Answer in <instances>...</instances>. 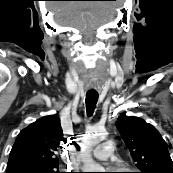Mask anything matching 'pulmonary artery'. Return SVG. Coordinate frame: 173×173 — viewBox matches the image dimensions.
I'll use <instances>...</instances> for the list:
<instances>
[{
	"label": "pulmonary artery",
	"mask_w": 173,
	"mask_h": 173,
	"mask_svg": "<svg viewBox=\"0 0 173 173\" xmlns=\"http://www.w3.org/2000/svg\"><path fill=\"white\" fill-rule=\"evenodd\" d=\"M113 152V144L110 141L102 142L98 147H96L92 156L98 161H106L108 160Z\"/></svg>",
	"instance_id": "pulmonary-artery-1"
}]
</instances>
